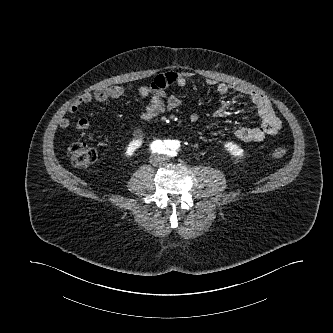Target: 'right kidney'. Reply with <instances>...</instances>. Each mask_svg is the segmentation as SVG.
<instances>
[{"label":"right kidney","mask_w":333,"mask_h":333,"mask_svg":"<svg viewBox=\"0 0 333 333\" xmlns=\"http://www.w3.org/2000/svg\"><path fill=\"white\" fill-rule=\"evenodd\" d=\"M142 145V141L139 139L132 140L126 147L125 156L127 158L134 155L135 151Z\"/></svg>","instance_id":"right-kidney-1"}]
</instances>
